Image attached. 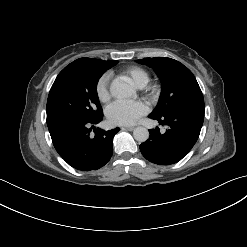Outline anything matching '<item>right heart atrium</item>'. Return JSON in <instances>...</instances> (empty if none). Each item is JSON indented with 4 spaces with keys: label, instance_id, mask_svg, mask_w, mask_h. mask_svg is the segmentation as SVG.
<instances>
[{
    "label": "right heart atrium",
    "instance_id": "d8ad5b80",
    "mask_svg": "<svg viewBox=\"0 0 247 247\" xmlns=\"http://www.w3.org/2000/svg\"><path fill=\"white\" fill-rule=\"evenodd\" d=\"M109 76L103 75L96 84V95L101 103L107 104L111 99L108 89Z\"/></svg>",
    "mask_w": 247,
    "mask_h": 247
}]
</instances>
